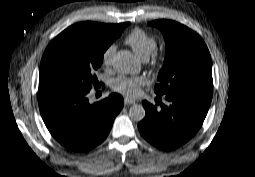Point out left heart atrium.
<instances>
[{
	"label": "left heart atrium",
	"instance_id": "obj_1",
	"mask_svg": "<svg viewBox=\"0 0 255 177\" xmlns=\"http://www.w3.org/2000/svg\"><path fill=\"white\" fill-rule=\"evenodd\" d=\"M144 84L145 81L141 77L120 76L112 81L111 87L115 92L135 97L140 93L141 86Z\"/></svg>",
	"mask_w": 255,
	"mask_h": 177
}]
</instances>
